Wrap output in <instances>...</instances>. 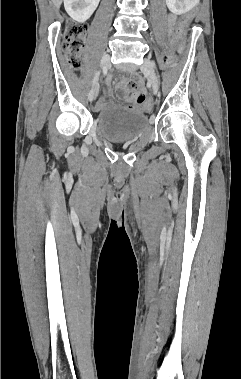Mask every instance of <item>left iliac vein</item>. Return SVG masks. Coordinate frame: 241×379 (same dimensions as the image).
<instances>
[{"mask_svg": "<svg viewBox=\"0 0 241 379\" xmlns=\"http://www.w3.org/2000/svg\"><path fill=\"white\" fill-rule=\"evenodd\" d=\"M141 71L150 79L153 93L157 94L159 89V81L155 73V63L152 60L145 58L141 66Z\"/></svg>", "mask_w": 241, "mask_h": 379, "instance_id": "4c4485c4", "label": "left iliac vein"}]
</instances>
